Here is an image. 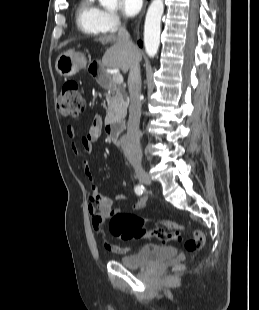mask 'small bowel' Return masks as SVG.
<instances>
[{
	"label": "small bowel",
	"mask_w": 259,
	"mask_h": 310,
	"mask_svg": "<svg viewBox=\"0 0 259 310\" xmlns=\"http://www.w3.org/2000/svg\"><path fill=\"white\" fill-rule=\"evenodd\" d=\"M103 127V120L100 116L96 115L87 130V132L80 138V144L73 142L71 144V150L74 154H78L80 147L88 154L93 152L96 141L101 135ZM67 136L70 139H74L76 132L72 126H68L66 129ZM84 174L89 180L91 193L89 196L88 211L91 216L92 225L97 233L102 245L116 254H127L130 251L129 247H122L111 242L106 235L105 221L108 218L118 212L114 208V199L99 192V187L95 181L90 161L86 159L83 162ZM148 204L147 197H141L135 203L132 204L133 210H142Z\"/></svg>",
	"instance_id": "obj_1"
}]
</instances>
